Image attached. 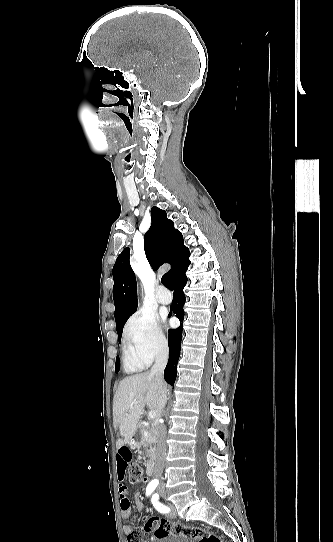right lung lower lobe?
I'll return each instance as SVG.
<instances>
[{
  "instance_id": "right-lung-lower-lobe-1",
  "label": "right lung lower lobe",
  "mask_w": 333,
  "mask_h": 542,
  "mask_svg": "<svg viewBox=\"0 0 333 542\" xmlns=\"http://www.w3.org/2000/svg\"><path fill=\"white\" fill-rule=\"evenodd\" d=\"M189 256V250L185 247L178 253L170 272L175 292L169 316L173 312L180 321H182L184 314L183 304L185 296L183 288L187 282L185 272L190 264V261L188 260ZM182 331V326H179L177 329H170L168 334L169 360L164 371V378L170 385H173L176 379V367L180 355Z\"/></svg>"
}]
</instances>
